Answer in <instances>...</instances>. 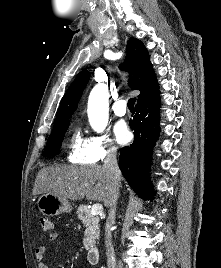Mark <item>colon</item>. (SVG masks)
<instances>
[{
	"label": "colon",
	"instance_id": "5ec220e1",
	"mask_svg": "<svg viewBox=\"0 0 221 268\" xmlns=\"http://www.w3.org/2000/svg\"><path fill=\"white\" fill-rule=\"evenodd\" d=\"M40 222L43 230L45 231H49L53 228L52 221L47 217H41Z\"/></svg>",
	"mask_w": 221,
	"mask_h": 268
}]
</instances>
